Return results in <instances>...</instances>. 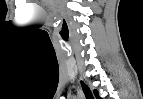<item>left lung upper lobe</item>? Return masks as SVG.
Wrapping results in <instances>:
<instances>
[{"label":"left lung upper lobe","instance_id":"5c2ea615","mask_svg":"<svg viewBox=\"0 0 143 99\" xmlns=\"http://www.w3.org/2000/svg\"><path fill=\"white\" fill-rule=\"evenodd\" d=\"M94 94H95L96 98L99 99L98 92H97V91H94Z\"/></svg>","mask_w":143,"mask_h":99}]
</instances>
